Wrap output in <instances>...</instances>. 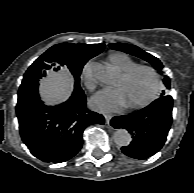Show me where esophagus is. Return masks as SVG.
<instances>
[{"instance_id":"1","label":"esophagus","mask_w":194,"mask_h":193,"mask_svg":"<svg viewBox=\"0 0 194 193\" xmlns=\"http://www.w3.org/2000/svg\"><path fill=\"white\" fill-rule=\"evenodd\" d=\"M111 119H112V116L111 115H105L106 124H110V120Z\"/></svg>"}]
</instances>
